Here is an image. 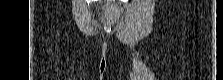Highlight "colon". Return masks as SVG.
<instances>
[{"label":"colon","instance_id":"5ec220e1","mask_svg":"<svg viewBox=\"0 0 223 80\" xmlns=\"http://www.w3.org/2000/svg\"><path fill=\"white\" fill-rule=\"evenodd\" d=\"M105 21H107V22H112L113 21V17L112 16H106L105 17Z\"/></svg>","mask_w":223,"mask_h":80}]
</instances>
